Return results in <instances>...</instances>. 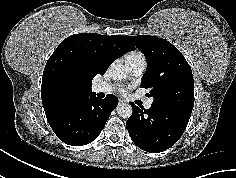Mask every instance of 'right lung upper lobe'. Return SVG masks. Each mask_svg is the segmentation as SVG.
<instances>
[{
	"instance_id": "right-lung-upper-lobe-1",
	"label": "right lung upper lobe",
	"mask_w": 236,
	"mask_h": 178,
	"mask_svg": "<svg viewBox=\"0 0 236 178\" xmlns=\"http://www.w3.org/2000/svg\"><path fill=\"white\" fill-rule=\"evenodd\" d=\"M134 46L123 35L74 34L64 39L48 59L42 77L44 109L92 93V79Z\"/></svg>"
}]
</instances>
